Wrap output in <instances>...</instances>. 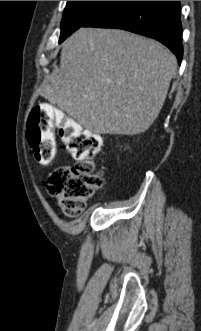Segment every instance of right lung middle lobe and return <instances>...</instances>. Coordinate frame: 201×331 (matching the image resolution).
<instances>
[{"label":"right lung middle lobe","mask_w":201,"mask_h":331,"mask_svg":"<svg viewBox=\"0 0 201 331\" xmlns=\"http://www.w3.org/2000/svg\"><path fill=\"white\" fill-rule=\"evenodd\" d=\"M112 1H67L59 43L64 41Z\"/></svg>","instance_id":"dd1d6c3e"}]
</instances>
